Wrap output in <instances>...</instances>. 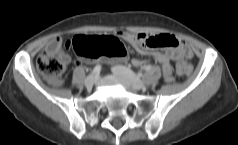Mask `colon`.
Masks as SVG:
<instances>
[{
    "instance_id": "obj_1",
    "label": "colon",
    "mask_w": 238,
    "mask_h": 145,
    "mask_svg": "<svg viewBox=\"0 0 238 145\" xmlns=\"http://www.w3.org/2000/svg\"><path fill=\"white\" fill-rule=\"evenodd\" d=\"M67 46L87 61L101 58L110 61H122L127 56L126 47L113 36L78 35L71 39ZM36 67L50 79H57L66 71L67 65L49 51L44 50L36 59ZM191 70V65L185 61L176 64L178 75H189Z\"/></svg>"
}]
</instances>
